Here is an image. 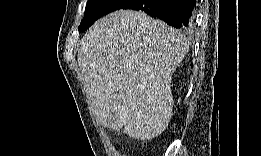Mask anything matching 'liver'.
Listing matches in <instances>:
<instances>
[{"label": "liver", "mask_w": 261, "mask_h": 156, "mask_svg": "<svg viewBox=\"0 0 261 156\" xmlns=\"http://www.w3.org/2000/svg\"><path fill=\"white\" fill-rule=\"evenodd\" d=\"M189 45L180 31L138 11L96 21L80 41L78 65L98 124L135 140L160 135L172 116V75Z\"/></svg>", "instance_id": "liver-1"}]
</instances>
